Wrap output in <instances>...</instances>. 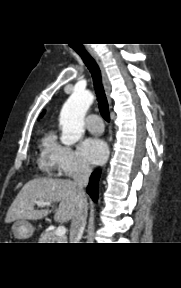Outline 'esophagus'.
<instances>
[{"mask_svg":"<svg viewBox=\"0 0 181 288\" xmlns=\"http://www.w3.org/2000/svg\"><path fill=\"white\" fill-rule=\"evenodd\" d=\"M88 52L94 58V60L96 61V63L98 64V66L100 68L104 90H105L108 102H109V104H111V98H110L111 85H110L109 78H108V75L106 73L105 67H104L100 57L98 56V54L95 51L89 49Z\"/></svg>","mask_w":181,"mask_h":288,"instance_id":"esophagus-1","label":"esophagus"}]
</instances>
